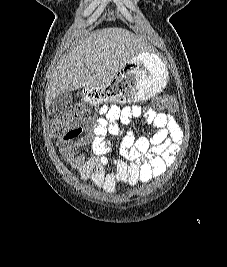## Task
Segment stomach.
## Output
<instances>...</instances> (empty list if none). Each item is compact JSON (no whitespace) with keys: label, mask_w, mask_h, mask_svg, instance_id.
<instances>
[{"label":"stomach","mask_w":227,"mask_h":267,"mask_svg":"<svg viewBox=\"0 0 227 267\" xmlns=\"http://www.w3.org/2000/svg\"><path fill=\"white\" fill-rule=\"evenodd\" d=\"M168 75L166 65L156 54L142 52L126 63L110 82H106V87L84 90V102L102 106L111 99L124 104L147 101L165 88Z\"/></svg>","instance_id":"1"}]
</instances>
